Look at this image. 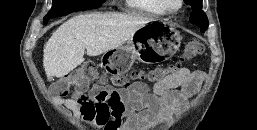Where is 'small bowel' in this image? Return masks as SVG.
Wrapping results in <instances>:
<instances>
[{"label":"small bowel","instance_id":"1","mask_svg":"<svg viewBox=\"0 0 257 130\" xmlns=\"http://www.w3.org/2000/svg\"><path fill=\"white\" fill-rule=\"evenodd\" d=\"M203 81L202 72L181 67L152 90L139 81L123 89L94 84L85 99L53 97V102L95 129L152 130L184 107Z\"/></svg>","mask_w":257,"mask_h":130}]
</instances>
